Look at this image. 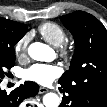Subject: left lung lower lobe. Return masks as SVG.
<instances>
[{
    "instance_id": "left-lung-lower-lobe-1",
    "label": "left lung lower lobe",
    "mask_w": 107,
    "mask_h": 107,
    "mask_svg": "<svg viewBox=\"0 0 107 107\" xmlns=\"http://www.w3.org/2000/svg\"><path fill=\"white\" fill-rule=\"evenodd\" d=\"M83 101L81 107H107V80L98 78L94 81H86L82 85ZM63 95L60 107H69V99H72L74 90L61 85Z\"/></svg>"
}]
</instances>
